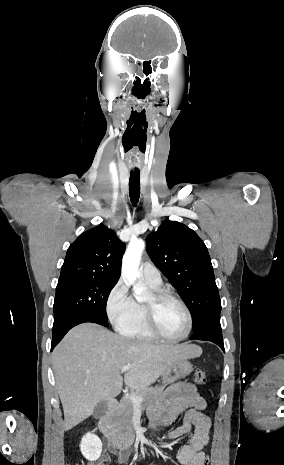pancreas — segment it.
Here are the masks:
<instances>
[{"label":"pancreas","instance_id":"1","mask_svg":"<svg viewBox=\"0 0 284 465\" xmlns=\"http://www.w3.org/2000/svg\"><path fill=\"white\" fill-rule=\"evenodd\" d=\"M164 389L165 387H145V389H137V391H134V393H131L128 397H123V399H121L116 413H112L111 415V423L120 441L128 443V441H133L135 437L132 423L133 405L132 401H130V397H132V395L142 397L143 401L140 405V409L144 411L146 407L155 403L156 399L162 395Z\"/></svg>","mask_w":284,"mask_h":465}]
</instances>
